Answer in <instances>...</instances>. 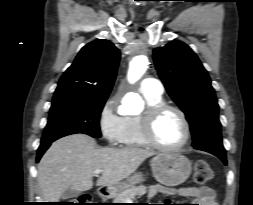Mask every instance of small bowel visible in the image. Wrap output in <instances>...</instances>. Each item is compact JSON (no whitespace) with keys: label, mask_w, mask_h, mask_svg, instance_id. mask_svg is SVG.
Returning <instances> with one entry per match:
<instances>
[{"label":"small bowel","mask_w":253,"mask_h":205,"mask_svg":"<svg viewBox=\"0 0 253 205\" xmlns=\"http://www.w3.org/2000/svg\"><path fill=\"white\" fill-rule=\"evenodd\" d=\"M156 193L170 196L175 195L176 191L171 188L154 185L150 188L149 196L153 197ZM178 194L196 201V205H217L214 192L211 188L206 186L182 188L179 190Z\"/></svg>","instance_id":"obj_1"}]
</instances>
